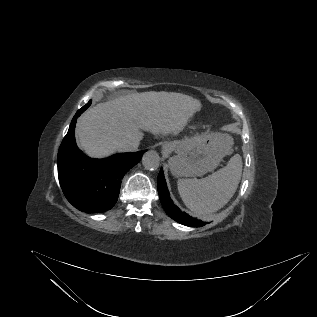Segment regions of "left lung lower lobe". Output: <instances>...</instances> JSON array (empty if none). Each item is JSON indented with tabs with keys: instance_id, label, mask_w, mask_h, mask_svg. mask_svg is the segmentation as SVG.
Here are the masks:
<instances>
[{
	"instance_id": "1",
	"label": "left lung lower lobe",
	"mask_w": 317,
	"mask_h": 317,
	"mask_svg": "<svg viewBox=\"0 0 317 317\" xmlns=\"http://www.w3.org/2000/svg\"><path fill=\"white\" fill-rule=\"evenodd\" d=\"M158 193L165 212L175 221L190 227H201L205 223L190 217L187 213L182 212L175 206L170 199L169 191L164 178L163 170L161 169L158 176Z\"/></svg>"
}]
</instances>
